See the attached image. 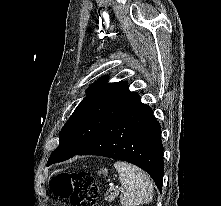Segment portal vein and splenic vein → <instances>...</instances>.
<instances>
[{"instance_id": "obj_1", "label": "portal vein and splenic vein", "mask_w": 221, "mask_h": 206, "mask_svg": "<svg viewBox=\"0 0 221 206\" xmlns=\"http://www.w3.org/2000/svg\"><path fill=\"white\" fill-rule=\"evenodd\" d=\"M114 189H115L114 186H111V187H110V191H112V190H114ZM119 190H120V188H119Z\"/></svg>"}]
</instances>
